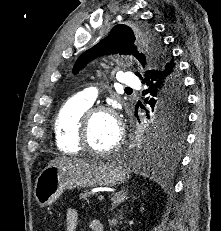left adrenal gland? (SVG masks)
<instances>
[{"instance_id":"a2214340","label":"left adrenal gland","mask_w":221,"mask_h":231,"mask_svg":"<svg viewBox=\"0 0 221 231\" xmlns=\"http://www.w3.org/2000/svg\"><path fill=\"white\" fill-rule=\"evenodd\" d=\"M128 195V188L125 190H121L120 192H117L115 194H113V196L111 197V208L110 210L115 209L119 204L123 203L126 199H128L127 197Z\"/></svg>"}]
</instances>
